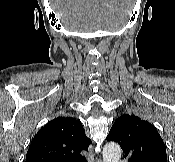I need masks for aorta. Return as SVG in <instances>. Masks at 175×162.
<instances>
[{
    "instance_id": "762f6f07",
    "label": "aorta",
    "mask_w": 175,
    "mask_h": 162,
    "mask_svg": "<svg viewBox=\"0 0 175 162\" xmlns=\"http://www.w3.org/2000/svg\"><path fill=\"white\" fill-rule=\"evenodd\" d=\"M122 151L117 143L109 142L103 148V161L104 162H119L121 159Z\"/></svg>"
}]
</instances>
